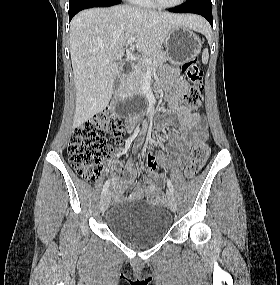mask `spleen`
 <instances>
[{
  "label": "spleen",
  "mask_w": 280,
  "mask_h": 285,
  "mask_svg": "<svg viewBox=\"0 0 280 285\" xmlns=\"http://www.w3.org/2000/svg\"><path fill=\"white\" fill-rule=\"evenodd\" d=\"M208 30L207 26H205L203 29H202V32H206ZM208 59H209V52H208V49H204V51L202 52V62L204 64H207L208 63Z\"/></svg>",
  "instance_id": "spleen-1"
}]
</instances>
